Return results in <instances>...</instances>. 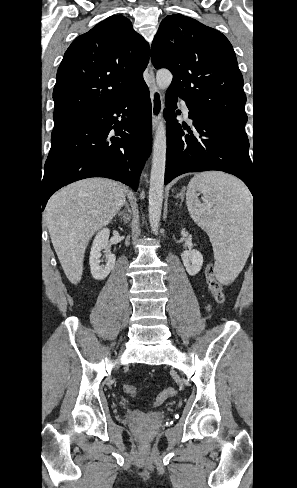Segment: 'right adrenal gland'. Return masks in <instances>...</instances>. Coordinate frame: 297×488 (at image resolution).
I'll list each match as a JSON object with an SVG mask.
<instances>
[{
    "mask_svg": "<svg viewBox=\"0 0 297 488\" xmlns=\"http://www.w3.org/2000/svg\"><path fill=\"white\" fill-rule=\"evenodd\" d=\"M125 204V207H126V210L124 211H119L118 212V216L121 217V219L123 220L124 224H127L129 221H130V208H129V205L127 202L124 203Z\"/></svg>",
    "mask_w": 297,
    "mask_h": 488,
    "instance_id": "right-adrenal-gland-1",
    "label": "right adrenal gland"
}]
</instances>
